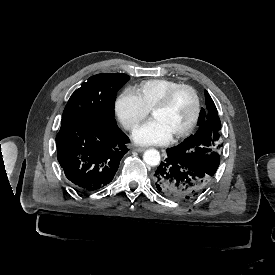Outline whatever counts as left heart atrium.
Here are the masks:
<instances>
[{"mask_svg":"<svg viewBox=\"0 0 275 275\" xmlns=\"http://www.w3.org/2000/svg\"><path fill=\"white\" fill-rule=\"evenodd\" d=\"M169 138L167 131L154 119L140 126L133 133L134 142L143 145L163 143Z\"/></svg>","mask_w":275,"mask_h":275,"instance_id":"39dd6f15","label":"left heart atrium"}]
</instances>
